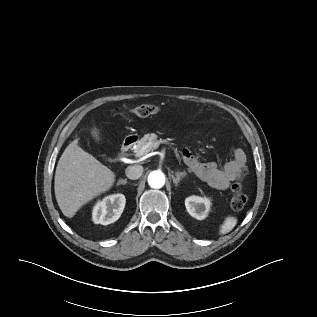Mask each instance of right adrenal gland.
I'll use <instances>...</instances> for the list:
<instances>
[{
  "instance_id": "1",
  "label": "right adrenal gland",
  "mask_w": 317,
  "mask_h": 317,
  "mask_svg": "<svg viewBox=\"0 0 317 317\" xmlns=\"http://www.w3.org/2000/svg\"><path fill=\"white\" fill-rule=\"evenodd\" d=\"M125 184H127V179H121V180H119V182L117 183V185L119 186V185H125Z\"/></svg>"
}]
</instances>
